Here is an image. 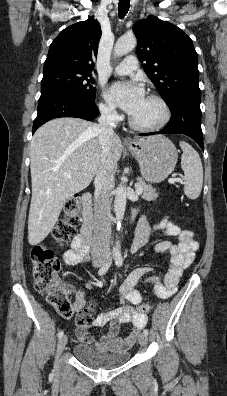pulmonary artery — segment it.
<instances>
[{
    "label": "pulmonary artery",
    "mask_w": 227,
    "mask_h": 396,
    "mask_svg": "<svg viewBox=\"0 0 227 396\" xmlns=\"http://www.w3.org/2000/svg\"><path fill=\"white\" fill-rule=\"evenodd\" d=\"M138 67V61L135 56H127L115 68L114 72L118 75H127L135 71Z\"/></svg>",
    "instance_id": "e3ab8cb5"
}]
</instances>
